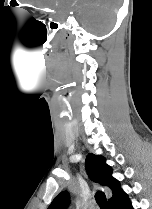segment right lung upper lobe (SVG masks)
Here are the masks:
<instances>
[{
    "label": "right lung upper lobe",
    "mask_w": 152,
    "mask_h": 209,
    "mask_svg": "<svg viewBox=\"0 0 152 209\" xmlns=\"http://www.w3.org/2000/svg\"><path fill=\"white\" fill-rule=\"evenodd\" d=\"M86 169L90 178L100 185L110 188L113 196L120 190V183L112 177V169L106 164L104 157L88 154ZM69 203V193L63 191L52 201L48 209H67Z\"/></svg>",
    "instance_id": "cb5924a9"
}]
</instances>
